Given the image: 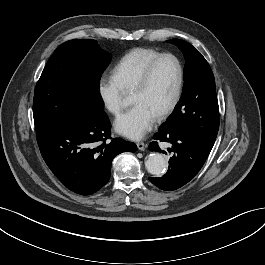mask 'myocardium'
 I'll return each mask as SVG.
<instances>
[{"label": "myocardium", "instance_id": "obj_1", "mask_svg": "<svg viewBox=\"0 0 265 265\" xmlns=\"http://www.w3.org/2000/svg\"><path fill=\"white\" fill-rule=\"evenodd\" d=\"M164 59H172L176 63V66L178 69V81H177L176 90H175V93H174V96L171 102L163 111H161L157 115V118L160 120L169 116L176 109L181 99V96H182L185 75H184V68H183V65L180 59L176 55L171 54V53H163V54L158 55L156 58L150 61L147 64V66L144 68V70L142 71L141 75L139 76L137 82L135 83L131 91V93H134V92H139V91L144 90L149 84L153 70L155 69L157 64Z\"/></svg>", "mask_w": 265, "mask_h": 265}]
</instances>
